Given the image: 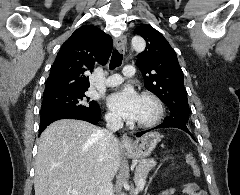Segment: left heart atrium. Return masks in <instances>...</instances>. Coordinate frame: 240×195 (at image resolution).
Returning <instances> with one entry per match:
<instances>
[{
	"label": "left heart atrium",
	"mask_w": 240,
	"mask_h": 195,
	"mask_svg": "<svg viewBox=\"0 0 240 195\" xmlns=\"http://www.w3.org/2000/svg\"><path fill=\"white\" fill-rule=\"evenodd\" d=\"M141 103L140 95L130 88L113 94L110 98L112 108L124 119L136 121Z\"/></svg>",
	"instance_id": "1"
}]
</instances>
